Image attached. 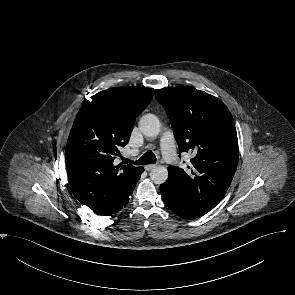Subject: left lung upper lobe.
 <instances>
[{"label":"left lung upper lobe","instance_id":"obj_1","mask_svg":"<svg viewBox=\"0 0 295 295\" xmlns=\"http://www.w3.org/2000/svg\"><path fill=\"white\" fill-rule=\"evenodd\" d=\"M182 152L192 153L186 170L168 168L166 182L194 209L206 214L224 197L235 174L238 139L232 115L218 98L193 87L156 91Z\"/></svg>","mask_w":295,"mask_h":295}]
</instances>
